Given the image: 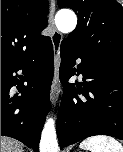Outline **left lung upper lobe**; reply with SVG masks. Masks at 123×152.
<instances>
[{
	"instance_id": "left-lung-upper-lobe-1",
	"label": "left lung upper lobe",
	"mask_w": 123,
	"mask_h": 152,
	"mask_svg": "<svg viewBox=\"0 0 123 152\" xmlns=\"http://www.w3.org/2000/svg\"><path fill=\"white\" fill-rule=\"evenodd\" d=\"M78 16L67 45L101 63L123 68V9L116 0H58Z\"/></svg>"
}]
</instances>
